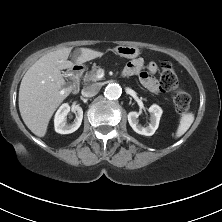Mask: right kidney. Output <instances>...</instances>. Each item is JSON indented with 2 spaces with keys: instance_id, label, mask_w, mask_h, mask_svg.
Instances as JSON below:
<instances>
[{
  "instance_id": "ca27d5eb",
  "label": "right kidney",
  "mask_w": 222,
  "mask_h": 222,
  "mask_svg": "<svg viewBox=\"0 0 222 222\" xmlns=\"http://www.w3.org/2000/svg\"><path fill=\"white\" fill-rule=\"evenodd\" d=\"M72 110L76 114V119L72 124L66 122V116L70 112V106L67 103L62 104L57 110L54 118V127L57 133L70 134L80 127L83 119V110L79 105L73 106Z\"/></svg>"
}]
</instances>
